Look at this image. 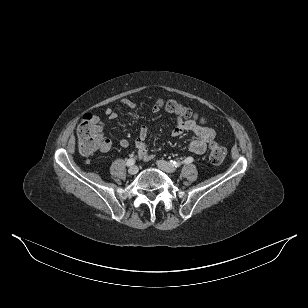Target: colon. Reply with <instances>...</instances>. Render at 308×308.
Returning a JSON list of instances; mask_svg holds the SVG:
<instances>
[{
  "label": "colon",
  "mask_w": 308,
  "mask_h": 308,
  "mask_svg": "<svg viewBox=\"0 0 308 308\" xmlns=\"http://www.w3.org/2000/svg\"><path fill=\"white\" fill-rule=\"evenodd\" d=\"M158 106L165 108L170 113H174L182 118H193L197 117L192 113L191 110L177 103L176 101L170 100L167 102H159ZM77 136L79 149L84 154H91L99 148L102 140V129L98 123L96 116L90 113L84 115L81 123L77 128ZM226 156V148L218 143L212 142L209 145V161L214 165H219L223 162Z\"/></svg>",
  "instance_id": "obj_1"
}]
</instances>
